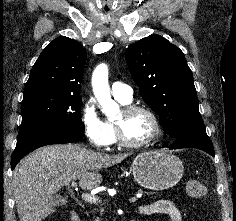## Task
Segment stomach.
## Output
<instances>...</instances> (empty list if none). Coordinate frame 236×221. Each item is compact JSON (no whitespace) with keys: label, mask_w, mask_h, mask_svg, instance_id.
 <instances>
[{"label":"stomach","mask_w":236,"mask_h":221,"mask_svg":"<svg viewBox=\"0 0 236 221\" xmlns=\"http://www.w3.org/2000/svg\"><path fill=\"white\" fill-rule=\"evenodd\" d=\"M132 171L140 186L150 190H165L180 181L184 166L175 155L162 151H148L134 158Z\"/></svg>","instance_id":"0dacf381"}]
</instances>
